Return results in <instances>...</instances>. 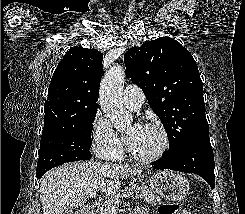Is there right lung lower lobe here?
Wrapping results in <instances>:
<instances>
[{
  "mask_svg": "<svg viewBox=\"0 0 245 214\" xmlns=\"http://www.w3.org/2000/svg\"><path fill=\"white\" fill-rule=\"evenodd\" d=\"M43 175H44V174H39V175H36V176H37V178L39 179V178H41Z\"/></svg>",
  "mask_w": 245,
  "mask_h": 214,
  "instance_id": "obj_1",
  "label": "right lung lower lobe"
}]
</instances>
